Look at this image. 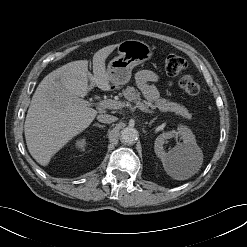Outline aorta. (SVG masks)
<instances>
[{
	"instance_id": "obj_1",
	"label": "aorta",
	"mask_w": 247,
	"mask_h": 247,
	"mask_svg": "<svg viewBox=\"0 0 247 247\" xmlns=\"http://www.w3.org/2000/svg\"><path fill=\"white\" fill-rule=\"evenodd\" d=\"M138 131L133 127H126L121 131V142L132 144L138 139Z\"/></svg>"
}]
</instances>
